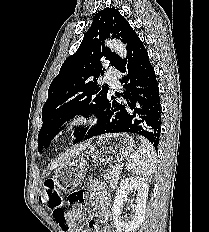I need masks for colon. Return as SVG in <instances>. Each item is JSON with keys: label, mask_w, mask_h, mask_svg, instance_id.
Returning <instances> with one entry per match:
<instances>
[{"label": "colon", "mask_w": 209, "mask_h": 232, "mask_svg": "<svg viewBox=\"0 0 209 232\" xmlns=\"http://www.w3.org/2000/svg\"><path fill=\"white\" fill-rule=\"evenodd\" d=\"M40 202L51 211L52 216L58 225L65 228L67 222L65 211L63 209V200L53 180L47 179L44 181L43 189L40 194Z\"/></svg>", "instance_id": "obj_1"}]
</instances>
